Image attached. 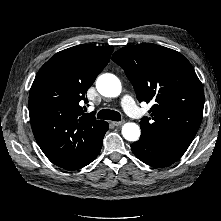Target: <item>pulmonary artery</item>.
<instances>
[{
	"label": "pulmonary artery",
	"instance_id": "obj_1",
	"mask_svg": "<svg viewBox=\"0 0 221 221\" xmlns=\"http://www.w3.org/2000/svg\"><path fill=\"white\" fill-rule=\"evenodd\" d=\"M122 105L125 109V111L133 116V117H139L140 116V112L135 104V102L133 101V99L129 96V95H125L122 98Z\"/></svg>",
	"mask_w": 221,
	"mask_h": 221
}]
</instances>
